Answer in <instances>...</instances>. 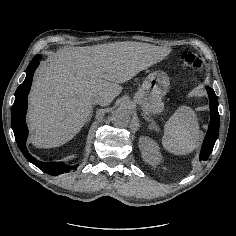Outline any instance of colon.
I'll list each match as a JSON object with an SVG mask.
<instances>
[{"instance_id": "obj_1", "label": "colon", "mask_w": 236, "mask_h": 236, "mask_svg": "<svg viewBox=\"0 0 236 236\" xmlns=\"http://www.w3.org/2000/svg\"><path fill=\"white\" fill-rule=\"evenodd\" d=\"M179 61L184 67L191 69L197 75H204L205 67L203 61L194 50L184 49L179 51Z\"/></svg>"}]
</instances>
